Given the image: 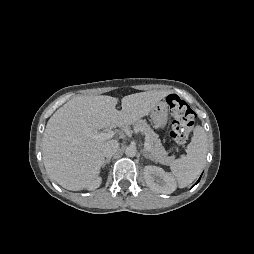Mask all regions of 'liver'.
I'll list each match as a JSON object with an SVG mask.
<instances>
[{"label": "liver", "mask_w": 254, "mask_h": 254, "mask_svg": "<svg viewBox=\"0 0 254 254\" xmlns=\"http://www.w3.org/2000/svg\"><path fill=\"white\" fill-rule=\"evenodd\" d=\"M170 91H147L125 96L122 110L111 96H77L49 119L43 137V162L50 177L62 187L78 191L97 180L108 141L91 136L109 126L128 127L151 110Z\"/></svg>", "instance_id": "liver-1"}]
</instances>
